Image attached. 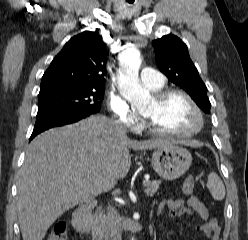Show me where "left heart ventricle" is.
<instances>
[{
    "instance_id": "obj_1",
    "label": "left heart ventricle",
    "mask_w": 248,
    "mask_h": 240,
    "mask_svg": "<svg viewBox=\"0 0 248 240\" xmlns=\"http://www.w3.org/2000/svg\"><path fill=\"white\" fill-rule=\"evenodd\" d=\"M143 115L157 129L170 132H187L198 124L191 105L180 95L170 96L162 104H158L153 98Z\"/></svg>"
}]
</instances>
